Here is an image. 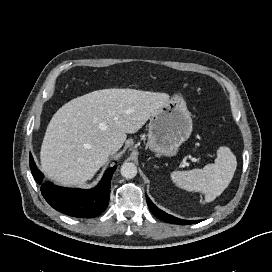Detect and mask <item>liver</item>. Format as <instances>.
I'll use <instances>...</instances> for the list:
<instances>
[{"label":"liver","instance_id":"1","mask_svg":"<svg viewBox=\"0 0 272 272\" xmlns=\"http://www.w3.org/2000/svg\"><path fill=\"white\" fill-rule=\"evenodd\" d=\"M168 101L166 93L129 88L72 99L48 124L40 152L42 171L64 186L84 184L115 153L104 147L107 141L120 149L126 134L137 132Z\"/></svg>","mask_w":272,"mask_h":272}]
</instances>
